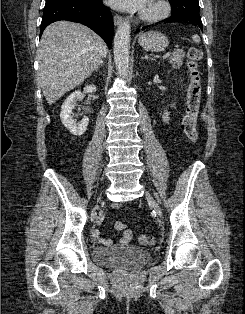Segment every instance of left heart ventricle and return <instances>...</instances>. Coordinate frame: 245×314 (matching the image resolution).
I'll return each mask as SVG.
<instances>
[{
    "mask_svg": "<svg viewBox=\"0 0 245 314\" xmlns=\"http://www.w3.org/2000/svg\"><path fill=\"white\" fill-rule=\"evenodd\" d=\"M157 9L156 5L153 3H147L145 9L143 10L144 12H154Z\"/></svg>",
    "mask_w": 245,
    "mask_h": 314,
    "instance_id": "obj_1",
    "label": "left heart ventricle"
}]
</instances>
